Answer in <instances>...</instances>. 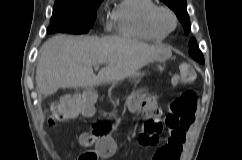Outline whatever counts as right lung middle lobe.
<instances>
[{"label": "right lung middle lobe", "mask_w": 242, "mask_h": 160, "mask_svg": "<svg viewBox=\"0 0 242 160\" xmlns=\"http://www.w3.org/2000/svg\"><path fill=\"white\" fill-rule=\"evenodd\" d=\"M102 0H56L48 33L88 32L96 17V10Z\"/></svg>", "instance_id": "1"}]
</instances>
